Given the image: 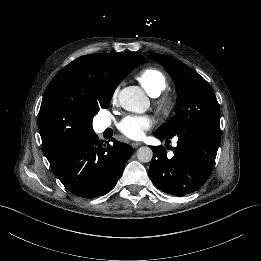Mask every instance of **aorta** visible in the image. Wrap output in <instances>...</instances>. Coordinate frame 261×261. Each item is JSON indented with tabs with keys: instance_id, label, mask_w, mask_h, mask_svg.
I'll list each match as a JSON object with an SVG mask.
<instances>
[{
	"instance_id": "obj_1",
	"label": "aorta",
	"mask_w": 261,
	"mask_h": 261,
	"mask_svg": "<svg viewBox=\"0 0 261 261\" xmlns=\"http://www.w3.org/2000/svg\"><path fill=\"white\" fill-rule=\"evenodd\" d=\"M120 106L127 110L136 113H143L149 107V99L137 87L129 86L123 88L118 94ZM137 159L142 163H147L152 160L153 151L148 146L140 147L137 150Z\"/></svg>"
}]
</instances>
